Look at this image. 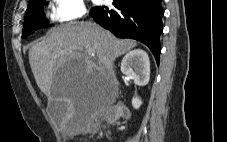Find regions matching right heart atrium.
I'll return each instance as SVG.
<instances>
[{"instance_id":"1","label":"right heart atrium","mask_w":227,"mask_h":142,"mask_svg":"<svg viewBox=\"0 0 227 142\" xmlns=\"http://www.w3.org/2000/svg\"><path fill=\"white\" fill-rule=\"evenodd\" d=\"M87 13L84 0H52L51 17L61 23L82 19Z\"/></svg>"}]
</instances>
